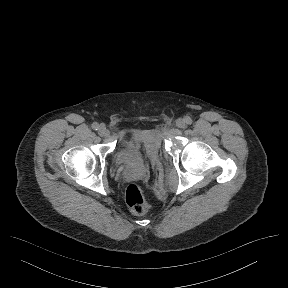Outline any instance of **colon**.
<instances>
[{
  "mask_svg": "<svg viewBox=\"0 0 288 288\" xmlns=\"http://www.w3.org/2000/svg\"><path fill=\"white\" fill-rule=\"evenodd\" d=\"M125 200L129 209L136 215H144L149 210L144 191L136 183H131L127 187Z\"/></svg>",
  "mask_w": 288,
  "mask_h": 288,
  "instance_id": "5ec220e1",
  "label": "colon"
}]
</instances>
